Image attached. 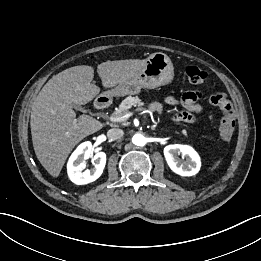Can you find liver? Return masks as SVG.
I'll return each mask as SVG.
<instances>
[{
  "label": "liver",
  "mask_w": 261,
  "mask_h": 261,
  "mask_svg": "<svg viewBox=\"0 0 261 261\" xmlns=\"http://www.w3.org/2000/svg\"><path fill=\"white\" fill-rule=\"evenodd\" d=\"M146 59L107 61L97 66L104 88H112L133 78ZM94 69L79 65L53 76L36 97L30 118L35 154L47 172L58 177L72 149L103 124L88 115L76 118L74 105L91 102L100 92L92 84Z\"/></svg>",
  "instance_id": "liver-1"
}]
</instances>
